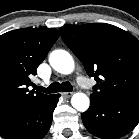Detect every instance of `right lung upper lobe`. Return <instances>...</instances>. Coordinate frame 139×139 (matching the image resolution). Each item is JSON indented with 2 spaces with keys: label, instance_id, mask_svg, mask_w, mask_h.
<instances>
[{
  "label": "right lung upper lobe",
  "instance_id": "obj_1",
  "mask_svg": "<svg viewBox=\"0 0 139 139\" xmlns=\"http://www.w3.org/2000/svg\"><path fill=\"white\" fill-rule=\"evenodd\" d=\"M58 37L54 28H23L0 36V123L52 96L28 87Z\"/></svg>",
  "mask_w": 139,
  "mask_h": 139
}]
</instances>
